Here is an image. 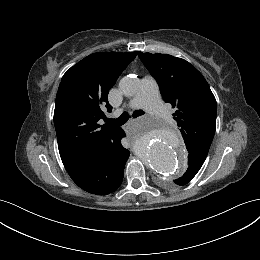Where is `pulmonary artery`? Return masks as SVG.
Returning a JSON list of instances; mask_svg holds the SVG:
<instances>
[{
    "instance_id": "1",
    "label": "pulmonary artery",
    "mask_w": 260,
    "mask_h": 260,
    "mask_svg": "<svg viewBox=\"0 0 260 260\" xmlns=\"http://www.w3.org/2000/svg\"><path fill=\"white\" fill-rule=\"evenodd\" d=\"M131 109L145 108L150 114L161 118L165 122H172V117L159 98L158 84L151 76H144L141 80V89L130 103Z\"/></svg>"
}]
</instances>
